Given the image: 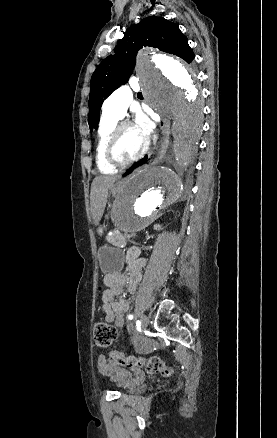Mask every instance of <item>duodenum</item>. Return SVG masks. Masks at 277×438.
Returning a JSON list of instances; mask_svg holds the SVG:
<instances>
[{"mask_svg":"<svg viewBox=\"0 0 277 438\" xmlns=\"http://www.w3.org/2000/svg\"><path fill=\"white\" fill-rule=\"evenodd\" d=\"M132 260H133V256L131 254L127 253L126 256H125V261L127 263H131Z\"/></svg>","mask_w":277,"mask_h":438,"instance_id":"obj_1","label":"duodenum"}]
</instances>
